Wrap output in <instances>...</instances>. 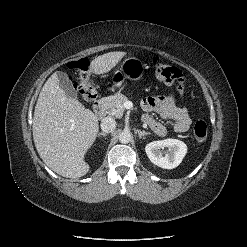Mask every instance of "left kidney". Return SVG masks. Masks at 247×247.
Wrapping results in <instances>:
<instances>
[{
	"label": "left kidney",
	"instance_id": "obj_1",
	"mask_svg": "<svg viewBox=\"0 0 247 247\" xmlns=\"http://www.w3.org/2000/svg\"><path fill=\"white\" fill-rule=\"evenodd\" d=\"M164 148L168 150L162 152L161 149ZM145 151L153 164L164 169H173L182 162L187 153V146L177 139H165L147 144Z\"/></svg>",
	"mask_w": 247,
	"mask_h": 247
}]
</instances>
